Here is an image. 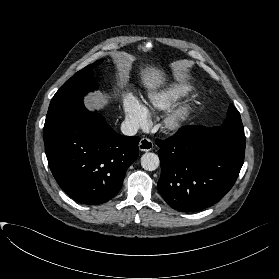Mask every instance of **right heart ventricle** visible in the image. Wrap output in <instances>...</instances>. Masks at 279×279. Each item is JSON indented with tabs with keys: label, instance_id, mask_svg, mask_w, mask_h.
<instances>
[{
	"label": "right heart ventricle",
	"instance_id": "obj_1",
	"mask_svg": "<svg viewBox=\"0 0 279 279\" xmlns=\"http://www.w3.org/2000/svg\"><path fill=\"white\" fill-rule=\"evenodd\" d=\"M192 90L189 83L174 78L152 89L148 93L149 103L158 110H167Z\"/></svg>",
	"mask_w": 279,
	"mask_h": 279
}]
</instances>
